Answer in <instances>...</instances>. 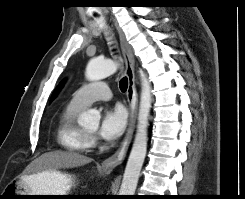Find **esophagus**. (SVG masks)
Segmentation results:
<instances>
[{"label":"esophagus","instance_id":"esophagus-1","mask_svg":"<svg viewBox=\"0 0 245 199\" xmlns=\"http://www.w3.org/2000/svg\"><path fill=\"white\" fill-rule=\"evenodd\" d=\"M119 42H120V48L122 51L124 63H125V74L128 78V88L126 92L127 101L129 105V123L126 135L124 137V140L121 144V146L118 148V150L110 157L105 159L101 164V169L105 172H111L113 171L118 165H120L126 155V152L128 150L129 144L131 142L135 123H136V116H137V106H138V99H137V92L135 87V72H134V57L131 50V47L126 41L125 35L122 32V30L115 24Z\"/></svg>","mask_w":245,"mask_h":199}]
</instances>
